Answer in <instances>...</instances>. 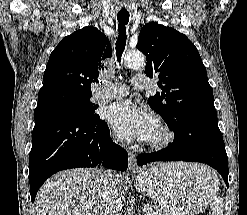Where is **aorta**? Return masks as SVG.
I'll return each mask as SVG.
<instances>
[{"label": "aorta", "instance_id": "obj_1", "mask_svg": "<svg viewBox=\"0 0 247 215\" xmlns=\"http://www.w3.org/2000/svg\"><path fill=\"white\" fill-rule=\"evenodd\" d=\"M125 64L131 68H141L145 63L144 55L139 51L129 52L124 57Z\"/></svg>", "mask_w": 247, "mask_h": 215}]
</instances>
